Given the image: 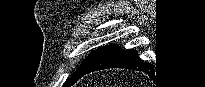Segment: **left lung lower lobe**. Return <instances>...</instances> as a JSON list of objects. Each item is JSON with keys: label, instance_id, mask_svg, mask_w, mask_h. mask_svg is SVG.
I'll list each match as a JSON object with an SVG mask.
<instances>
[{"label": "left lung lower lobe", "instance_id": "0a47b994", "mask_svg": "<svg viewBox=\"0 0 205 87\" xmlns=\"http://www.w3.org/2000/svg\"><path fill=\"white\" fill-rule=\"evenodd\" d=\"M108 68H126L149 73L152 66L142 62L137 56L136 50H121L117 45L112 44L99 50L92 63L81 73L79 79L85 74Z\"/></svg>", "mask_w": 205, "mask_h": 87}]
</instances>
